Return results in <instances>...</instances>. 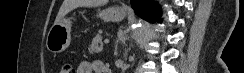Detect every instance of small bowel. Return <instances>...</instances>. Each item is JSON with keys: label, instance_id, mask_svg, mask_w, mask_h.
I'll use <instances>...</instances> for the list:
<instances>
[{"label": "small bowel", "instance_id": "small-bowel-1", "mask_svg": "<svg viewBox=\"0 0 244 73\" xmlns=\"http://www.w3.org/2000/svg\"><path fill=\"white\" fill-rule=\"evenodd\" d=\"M76 73H110L109 68L101 61H81Z\"/></svg>", "mask_w": 244, "mask_h": 73}]
</instances>
